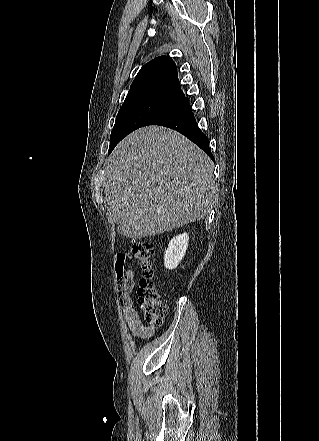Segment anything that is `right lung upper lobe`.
<instances>
[{"instance_id": "1", "label": "right lung upper lobe", "mask_w": 319, "mask_h": 441, "mask_svg": "<svg viewBox=\"0 0 319 441\" xmlns=\"http://www.w3.org/2000/svg\"><path fill=\"white\" fill-rule=\"evenodd\" d=\"M184 97L178 80L176 64L169 56H160L141 68L125 101L150 98L176 104Z\"/></svg>"}]
</instances>
